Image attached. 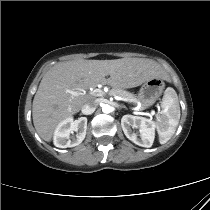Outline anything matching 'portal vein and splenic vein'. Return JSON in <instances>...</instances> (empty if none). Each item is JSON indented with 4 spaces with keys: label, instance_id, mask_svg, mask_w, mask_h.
Returning <instances> with one entry per match:
<instances>
[{
    "label": "portal vein and splenic vein",
    "instance_id": "portal-vein-and-splenic-vein-1",
    "mask_svg": "<svg viewBox=\"0 0 210 210\" xmlns=\"http://www.w3.org/2000/svg\"><path fill=\"white\" fill-rule=\"evenodd\" d=\"M69 93H71L72 95H78L77 92H74V91H69ZM93 95L97 96V97H100L104 94V92L101 90V89H95L93 90ZM146 115H150L149 113H144Z\"/></svg>",
    "mask_w": 210,
    "mask_h": 210
}]
</instances>
